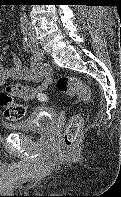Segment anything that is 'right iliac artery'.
Listing matches in <instances>:
<instances>
[{"label":"right iliac artery","instance_id":"right-iliac-artery-1","mask_svg":"<svg viewBox=\"0 0 121 197\" xmlns=\"http://www.w3.org/2000/svg\"><path fill=\"white\" fill-rule=\"evenodd\" d=\"M21 29H22L23 35L25 37V41L29 45L34 46L33 39H32L31 33H30V28L28 26L27 21L24 20L21 22Z\"/></svg>","mask_w":121,"mask_h":197}]
</instances>
